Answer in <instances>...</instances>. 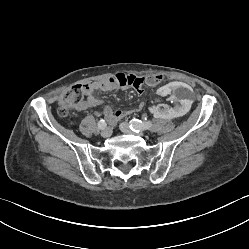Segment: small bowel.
<instances>
[{"label": "small bowel", "mask_w": 249, "mask_h": 249, "mask_svg": "<svg viewBox=\"0 0 249 249\" xmlns=\"http://www.w3.org/2000/svg\"><path fill=\"white\" fill-rule=\"evenodd\" d=\"M131 77L134 76L124 73H118L108 78L95 81L90 84H86L84 86L86 99L82 103H80L78 109L86 110L103 105V114L106 120L111 124H116L121 119H123L127 115V113L123 110L113 111L109 103H106L103 100L96 98L94 93L96 91L108 92L120 88L122 89L130 88V86L128 85V80Z\"/></svg>", "instance_id": "small-bowel-1"}]
</instances>
